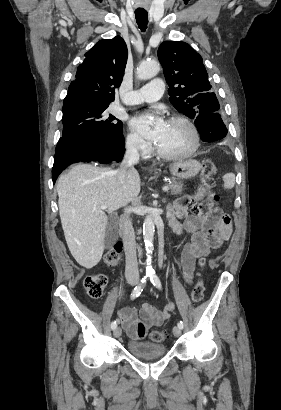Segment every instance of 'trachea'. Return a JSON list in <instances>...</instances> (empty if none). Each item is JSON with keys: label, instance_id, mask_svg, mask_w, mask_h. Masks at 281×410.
I'll return each instance as SVG.
<instances>
[{"label": "trachea", "instance_id": "trachea-1", "mask_svg": "<svg viewBox=\"0 0 281 410\" xmlns=\"http://www.w3.org/2000/svg\"><path fill=\"white\" fill-rule=\"evenodd\" d=\"M136 22L141 29V31H145L148 24V13L146 11L135 12Z\"/></svg>", "mask_w": 281, "mask_h": 410}]
</instances>
